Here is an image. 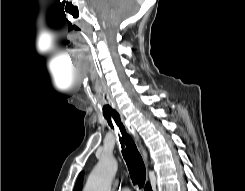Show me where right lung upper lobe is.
<instances>
[{
  "label": "right lung upper lobe",
  "instance_id": "right-lung-upper-lobe-1",
  "mask_svg": "<svg viewBox=\"0 0 245 191\" xmlns=\"http://www.w3.org/2000/svg\"><path fill=\"white\" fill-rule=\"evenodd\" d=\"M82 182H83V177L81 176V177L77 180V182H76L74 191H81V188H82Z\"/></svg>",
  "mask_w": 245,
  "mask_h": 191
}]
</instances>
